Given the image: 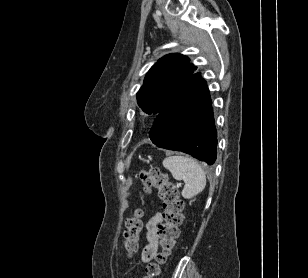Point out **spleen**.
<instances>
[{
    "mask_svg": "<svg viewBox=\"0 0 308 278\" xmlns=\"http://www.w3.org/2000/svg\"><path fill=\"white\" fill-rule=\"evenodd\" d=\"M163 166L168 169L173 178L183 180L185 186L182 196L191 199L198 195L206 186V175L199 163L188 156H168L163 160Z\"/></svg>",
    "mask_w": 308,
    "mask_h": 278,
    "instance_id": "spleen-1",
    "label": "spleen"
}]
</instances>
